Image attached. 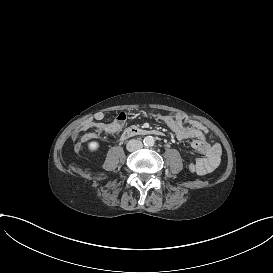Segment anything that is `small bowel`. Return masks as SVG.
Returning a JSON list of instances; mask_svg holds the SVG:
<instances>
[{"label":"small bowel","mask_w":273,"mask_h":273,"mask_svg":"<svg viewBox=\"0 0 273 273\" xmlns=\"http://www.w3.org/2000/svg\"><path fill=\"white\" fill-rule=\"evenodd\" d=\"M104 113L99 111L92 117L94 127L90 131H83L86 139H93L99 133H107L110 135H118L128 122V115L121 111L110 122H104ZM156 119L164 123L179 140L191 139L192 147L199 153L205 155L204 158L196 162V172L199 175H206L212 172L220 162L222 149L218 143H210L205 134L207 128L197 120L190 118L184 114L156 116Z\"/></svg>","instance_id":"c3829d8e"}]
</instances>
